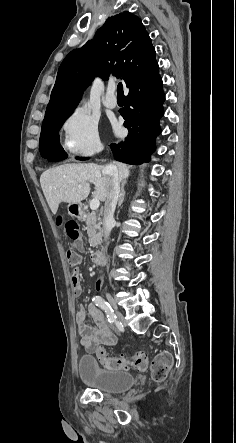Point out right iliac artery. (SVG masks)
I'll use <instances>...</instances> for the list:
<instances>
[{"label":"right iliac artery","instance_id":"82829eb1","mask_svg":"<svg viewBox=\"0 0 236 443\" xmlns=\"http://www.w3.org/2000/svg\"><path fill=\"white\" fill-rule=\"evenodd\" d=\"M93 302L96 306L100 307L102 310L105 311L108 321L113 324L116 321V315L114 314V311L112 307L109 305L108 302H106L102 297L95 296L93 297Z\"/></svg>","mask_w":236,"mask_h":443}]
</instances>
